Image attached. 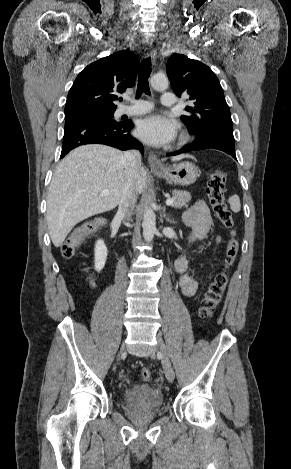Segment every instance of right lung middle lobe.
Wrapping results in <instances>:
<instances>
[{
	"instance_id": "dd1d6c3e",
	"label": "right lung middle lobe",
	"mask_w": 291,
	"mask_h": 469,
	"mask_svg": "<svg viewBox=\"0 0 291 469\" xmlns=\"http://www.w3.org/2000/svg\"><path fill=\"white\" fill-rule=\"evenodd\" d=\"M115 109L113 110H92V111H87L83 112L80 114H75V115H70V116H65V120L78 117V116H100L104 117L107 119H113V114H114Z\"/></svg>"
}]
</instances>
